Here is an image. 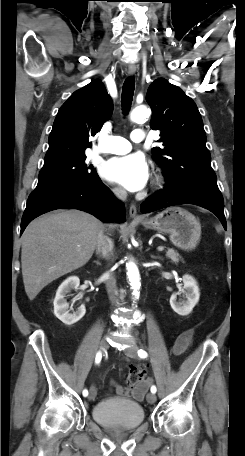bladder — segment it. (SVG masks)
<instances>
[{"mask_svg": "<svg viewBox=\"0 0 245 456\" xmlns=\"http://www.w3.org/2000/svg\"><path fill=\"white\" fill-rule=\"evenodd\" d=\"M92 417L99 425L109 429L133 430L144 421L142 406L124 398H108L94 405Z\"/></svg>", "mask_w": 245, "mask_h": 456, "instance_id": "31cf9c89", "label": "bladder"}]
</instances>
